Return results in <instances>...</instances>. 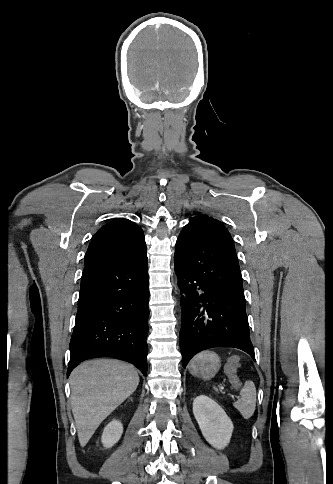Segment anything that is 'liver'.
I'll return each instance as SVG.
<instances>
[{"mask_svg": "<svg viewBox=\"0 0 333 484\" xmlns=\"http://www.w3.org/2000/svg\"><path fill=\"white\" fill-rule=\"evenodd\" d=\"M138 383L134 367L118 360H90L72 371V412L82 447L100 423L136 390Z\"/></svg>", "mask_w": 333, "mask_h": 484, "instance_id": "liver-1", "label": "liver"}]
</instances>
